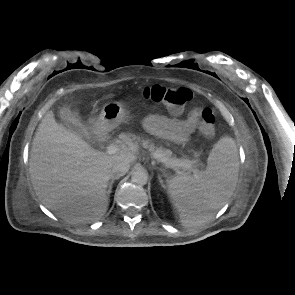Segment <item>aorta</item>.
<instances>
[{
	"label": "aorta",
	"mask_w": 295,
	"mask_h": 295,
	"mask_svg": "<svg viewBox=\"0 0 295 295\" xmlns=\"http://www.w3.org/2000/svg\"><path fill=\"white\" fill-rule=\"evenodd\" d=\"M148 180V173L144 169H138L133 172L131 181L137 185H145Z\"/></svg>",
	"instance_id": "obj_1"
}]
</instances>
